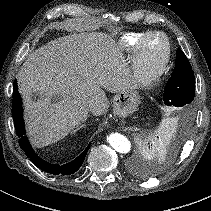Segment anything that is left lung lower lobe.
Wrapping results in <instances>:
<instances>
[{
	"label": "left lung lower lobe",
	"mask_w": 211,
	"mask_h": 211,
	"mask_svg": "<svg viewBox=\"0 0 211 211\" xmlns=\"http://www.w3.org/2000/svg\"><path fill=\"white\" fill-rule=\"evenodd\" d=\"M191 121V115L189 113V110H182L179 113L178 117V131L177 136H179V139L183 135L184 131L188 128ZM180 142V140H179ZM175 138L172 137V139L166 140L162 143L154 145L155 150L161 152H165L167 155H173L178 147L179 143Z\"/></svg>",
	"instance_id": "0a47b994"
}]
</instances>
